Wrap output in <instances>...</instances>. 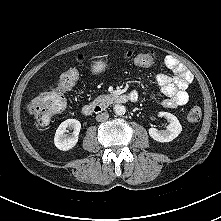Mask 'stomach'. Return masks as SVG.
I'll return each instance as SVG.
<instances>
[{
  "label": "stomach",
  "instance_id": "1",
  "mask_svg": "<svg viewBox=\"0 0 221 221\" xmlns=\"http://www.w3.org/2000/svg\"><path fill=\"white\" fill-rule=\"evenodd\" d=\"M106 68H107L106 62L99 60V61L94 62L92 66V72L94 74H100L104 72Z\"/></svg>",
  "mask_w": 221,
  "mask_h": 221
}]
</instances>
